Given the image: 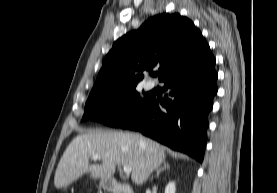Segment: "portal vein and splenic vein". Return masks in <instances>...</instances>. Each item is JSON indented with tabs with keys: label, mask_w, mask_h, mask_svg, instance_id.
Here are the masks:
<instances>
[{
	"label": "portal vein and splenic vein",
	"mask_w": 277,
	"mask_h": 193,
	"mask_svg": "<svg viewBox=\"0 0 277 193\" xmlns=\"http://www.w3.org/2000/svg\"><path fill=\"white\" fill-rule=\"evenodd\" d=\"M93 158L94 159H98V158H100V155L99 154H95L93 156ZM123 171H124L125 174H130L132 172V168L130 166H124L123 167Z\"/></svg>",
	"instance_id": "obj_1"
}]
</instances>
